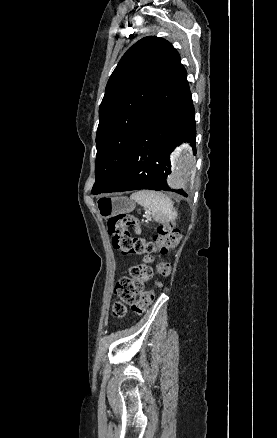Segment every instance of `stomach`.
<instances>
[{
  "mask_svg": "<svg viewBox=\"0 0 277 438\" xmlns=\"http://www.w3.org/2000/svg\"><path fill=\"white\" fill-rule=\"evenodd\" d=\"M96 206L103 219L130 213L135 208L134 202L126 197H103L96 202Z\"/></svg>",
  "mask_w": 277,
  "mask_h": 438,
  "instance_id": "0dacf381",
  "label": "stomach"
}]
</instances>
